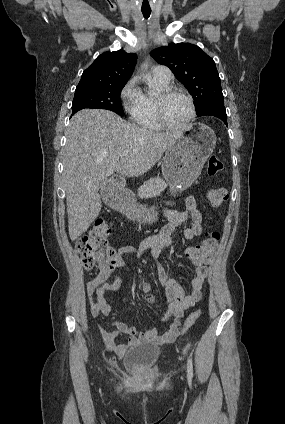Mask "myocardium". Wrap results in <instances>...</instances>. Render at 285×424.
I'll return each mask as SVG.
<instances>
[{"instance_id": "obj_1", "label": "myocardium", "mask_w": 285, "mask_h": 424, "mask_svg": "<svg viewBox=\"0 0 285 424\" xmlns=\"http://www.w3.org/2000/svg\"><path fill=\"white\" fill-rule=\"evenodd\" d=\"M176 95H181L183 97H185L190 105V114L188 116V118L186 119V121L180 125H175L172 124L168 121V119L166 118L165 115V104L166 102L173 96ZM156 113H157V118L160 122V124L166 128V129H170V130H174V131H182L184 129H186L194 120L195 116H196V107H195V103L194 100L192 98V96L190 94H188L187 92L183 91V90H179V89H167L165 91H162L158 97L156 98Z\"/></svg>"}]
</instances>
